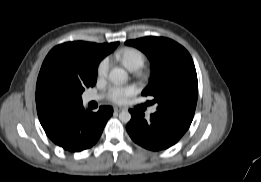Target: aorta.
<instances>
[{
	"instance_id": "aorta-1",
	"label": "aorta",
	"mask_w": 261,
	"mask_h": 182,
	"mask_svg": "<svg viewBox=\"0 0 261 182\" xmlns=\"http://www.w3.org/2000/svg\"><path fill=\"white\" fill-rule=\"evenodd\" d=\"M109 79L116 85L124 84L128 80V74L122 68H114L109 73ZM119 119L123 123H128L131 120V114L129 111L123 110L119 114Z\"/></svg>"
}]
</instances>
